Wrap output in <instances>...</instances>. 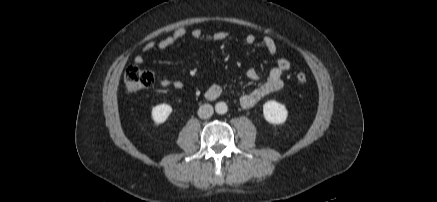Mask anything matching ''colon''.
<instances>
[{
    "label": "colon",
    "mask_w": 437,
    "mask_h": 202,
    "mask_svg": "<svg viewBox=\"0 0 437 202\" xmlns=\"http://www.w3.org/2000/svg\"><path fill=\"white\" fill-rule=\"evenodd\" d=\"M296 80L302 84L306 83L307 76L302 72L297 73ZM124 82L127 93L134 95L142 90L150 88L154 83V75L148 70L141 69L135 65H130L125 70Z\"/></svg>",
    "instance_id": "obj_1"
}]
</instances>
